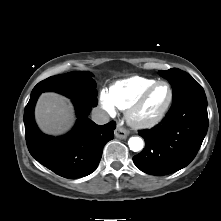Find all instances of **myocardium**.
Returning a JSON list of instances; mask_svg holds the SVG:
<instances>
[{"label": "myocardium", "mask_w": 221, "mask_h": 221, "mask_svg": "<svg viewBox=\"0 0 221 221\" xmlns=\"http://www.w3.org/2000/svg\"><path fill=\"white\" fill-rule=\"evenodd\" d=\"M159 85H166L168 87L169 89L168 100L164 105V107L162 108V110L156 116L151 118H144L140 115L141 109L144 106L150 94ZM173 99H174V91L171 84L164 80L156 81L152 85H150L147 89H145L140 94V96L135 100V102L128 108L127 111L128 121L133 127L138 129L152 128L158 125L160 122H162L163 119L166 117L173 103Z\"/></svg>", "instance_id": "f54148a6"}]
</instances>
